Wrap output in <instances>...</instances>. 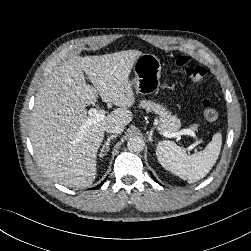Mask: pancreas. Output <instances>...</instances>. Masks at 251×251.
<instances>
[{
    "instance_id": "obj_1",
    "label": "pancreas",
    "mask_w": 251,
    "mask_h": 251,
    "mask_svg": "<svg viewBox=\"0 0 251 251\" xmlns=\"http://www.w3.org/2000/svg\"><path fill=\"white\" fill-rule=\"evenodd\" d=\"M140 106L148 111L155 112L159 116L160 124L158 126V130L160 132L168 131L174 133L180 129V120L176 116H171V114L166 111V108L162 105L153 101L143 100L141 101Z\"/></svg>"
}]
</instances>
